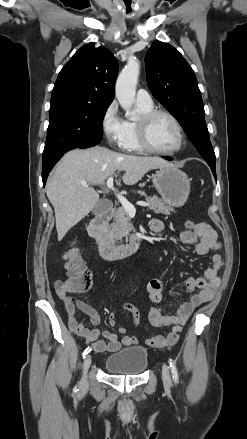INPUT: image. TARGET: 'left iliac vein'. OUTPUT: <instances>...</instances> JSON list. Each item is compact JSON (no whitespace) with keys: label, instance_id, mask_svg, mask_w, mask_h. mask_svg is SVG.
I'll return each instance as SVG.
<instances>
[{"label":"left iliac vein","instance_id":"left-iliac-vein-1","mask_svg":"<svg viewBox=\"0 0 247 439\" xmlns=\"http://www.w3.org/2000/svg\"><path fill=\"white\" fill-rule=\"evenodd\" d=\"M162 379L165 387L169 388L172 384L171 375L168 366L165 364L162 367Z\"/></svg>","mask_w":247,"mask_h":439}]
</instances>
